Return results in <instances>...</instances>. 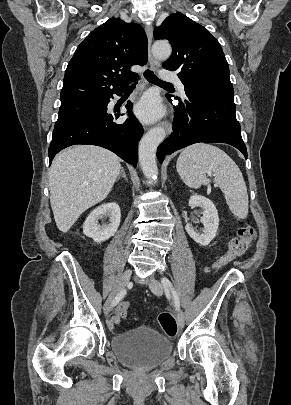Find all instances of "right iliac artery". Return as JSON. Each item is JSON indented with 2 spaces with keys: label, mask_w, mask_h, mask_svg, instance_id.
<instances>
[{
  "label": "right iliac artery",
  "mask_w": 291,
  "mask_h": 405,
  "mask_svg": "<svg viewBox=\"0 0 291 405\" xmlns=\"http://www.w3.org/2000/svg\"><path fill=\"white\" fill-rule=\"evenodd\" d=\"M125 294L126 290H122L121 292H119L113 300V306L117 305L118 302L124 298Z\"/></svg>",
  "instance_id": "obj_1"
}]
</instances>
